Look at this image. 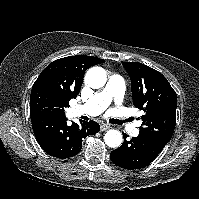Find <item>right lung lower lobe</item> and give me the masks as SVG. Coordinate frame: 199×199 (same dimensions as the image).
I'll use <instances>...</instances> for the list:
<instances>
[{
  "instance_id": "98d812e1",
  "label": "right lung lower lobe",
  "mask_w": 199,
  "mask_h": 199,
  "mask_svg": "<svg viewBox=\"0 0 199 199\" xmlns=\"http://www.w3.org/2000/svg\"><path fill=\"white\" fill-rule=\"evenodd\" d=\"M31 122L40 147L50 156L59 159L77 155L82 148L83 139L88 135H95L100 130L95 121L68 125L65 116L50 114L33 115Z\"/></svg>"
}]
</instances>
